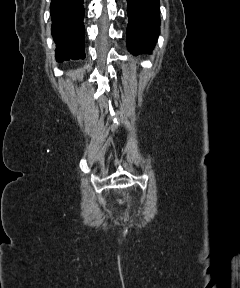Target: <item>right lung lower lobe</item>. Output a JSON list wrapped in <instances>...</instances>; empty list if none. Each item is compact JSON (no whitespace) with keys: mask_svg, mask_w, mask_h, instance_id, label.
<instances>
[{"mask_svg":"<svg viewBox=\"0 0 240 288\" xmlns=\"http://www.w3.org/2000/svg\"><path fill=\"white\" fill-rule=\"evenodd\" d=\"M50 12L57 58L60 61L85 58L83 0H52Z\"/></svg>","mask_w":240,"mask_h":288,"instance_id":"obj_1","label":"right lung lower lobe"}]
</instances>
